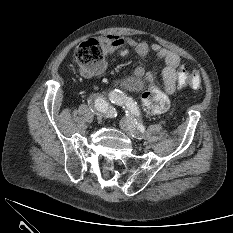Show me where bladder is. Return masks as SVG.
<instances>
[{"mask_svg": "<svg viewBox=\"0 0 233 233\" xmlns=\"http://www.w3.org/2000/svg\"><path fill=\"white\" fill-rule=\"evenodd\" d=\"M141 86H142V82L140 80H137L130 85L131 88H140Z\"/></svg>", "mask_w": 233, "mask_h": 233, "instance_id": "bladder-1", "label": "bladder"}]
</instances>
